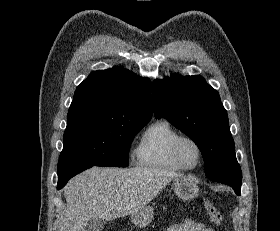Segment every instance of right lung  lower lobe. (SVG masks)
Wrapping results in <instances>:
<instances>
[{
    "label": "right lung lower lobe",
    "mask_w": 280,
    "mask_h": 231,
    "mask_svg": "<svg viewBox=\"0 0 280 231\" xmlns=\"http://www.w3.org/2000/svg\"><path fill=\"white\" fill-rule=\"evenodd\" d=\"M93 167L88 164H77V163H68V162H59L58 163V184L57 189H61L66 185L68 180L78 173Z\"/></svg>",
    "instance_id": "1"
}]
</instances>
